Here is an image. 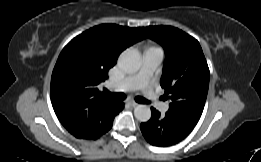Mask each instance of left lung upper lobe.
Returning a JSON list of instances; mask_svg holds the SVG:
<instances>
[{
    "instance_id": "obj_1",
    "label": "left lung upper lobe",
    "mask_w": 261,
    "mask_h": 162,
    "mask_svg": "<svg viewBox=\"0 0 261 162\" xmlns=\"http://www.w3.org/2000/svg\"><path fill=\"white\" fill-rule=\"evenodd\" d=\"M142 33L165 50L161 77L164 98L170 99L168 113L197 124L207 98L210 72L199 42L171 26L140 27Z\"/></svg>"
}]
</instances>
